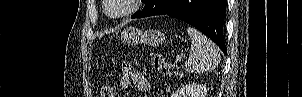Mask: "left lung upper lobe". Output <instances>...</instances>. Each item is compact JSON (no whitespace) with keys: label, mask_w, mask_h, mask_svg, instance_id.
<instances>
[{"label":"left lung upper lobe","mask_w":302,"mask_h":97,"mask_svg":"<svg viewBox=\"0 0 302 97\" xmlns=\"http://www.w3.org/2000/svg\"><path fill=\"white\" fill-rule=\"evenodd\" d=\"M143 2H146L145 6L148 5V3L151 1V0H142Z\"/></svg>","instance_id":"5c2ea615"}]
</instances>
